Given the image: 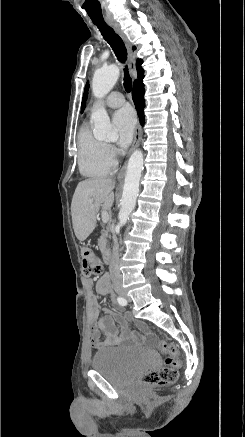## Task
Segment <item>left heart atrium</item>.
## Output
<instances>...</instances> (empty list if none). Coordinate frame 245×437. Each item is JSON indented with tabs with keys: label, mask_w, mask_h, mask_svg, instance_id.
Returning <instances> with one entry per match:
<instances>
[{
	"label": "left heart atrium",
	"mask_w": 245,
	"mask_h": 437,
	"mask_svg": "<svg viewBox=\"0 0 245 437\" xmlns=\"http://www.w3.org/2000/svg\"><path fill=\"white\" fill-rule=\"evenodd\" d=\"M113 125L118 133V144L127 147L133 138L136 128V115L130 107H123L113 115Z\"/></svg>",
	"instance_id": "39dd6f15"
}]
</instances>
